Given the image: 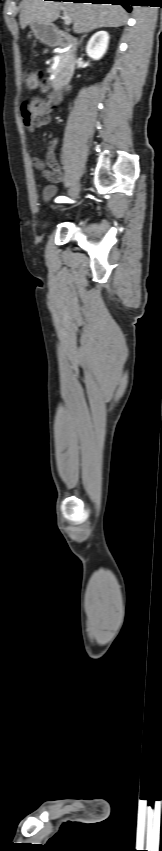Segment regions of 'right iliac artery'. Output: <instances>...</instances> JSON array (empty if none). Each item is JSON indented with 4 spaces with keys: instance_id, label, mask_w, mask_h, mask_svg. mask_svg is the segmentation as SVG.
Instances as JSON below:
<instances>
[{
    "instance_id": "obj_1",
    "label": "right iliac artery",
    "mask_w": 162,
    "mask_h": 851,
    "mask_svg": "<svg viewBox=\"0 0 162 851\" xmlns=\"http://www.w3.org/2000/svg\"><path fill=\"white\" fill-rule=\"evenodd\" d=\"M55 202L62 203V202H73V201L71 199L65 197V196H59L55 199Z\"/></svg>"
}]
</instances>
